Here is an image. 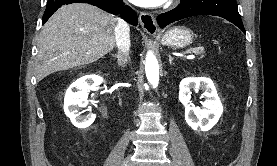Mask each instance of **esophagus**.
<instances>
[{"mask_svg": "<svg viewBox=\"0 0 277 166\" xmlns=\"http://www.w3.org/2000/svg\"><path fill=\"white\" fill-rule=\"evenodd\" d=\"M139 21L144 31L148 34L154 35L159 33L156 20L152 14L145 12L140 13Z\"/></svg>", "mask_w": 277, "mask_h": 166, "instance_id": "34e87169", "label": "esophagus"}]
</instances>
